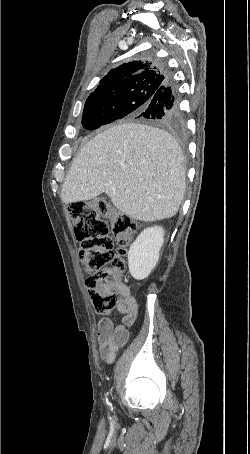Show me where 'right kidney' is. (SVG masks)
Listing matches in <instances>:
<instances>
[{
    "label": "right kidney",
    "instance_id": "obj_1",
    "mask_svg": "<svg viewBox=\"0 0 250 454\" xmlns=\"http://www.w3.org/2000/svg\"><path fill=\"white\" fill-rule=\"evenodd\" d=\"M164 242V230L160 226L144 229L128 251V266L134 279H145L156 266Z\"/></svg>",
    "mask_w": 250,
    "mask_h": 454
}]
</instances>
